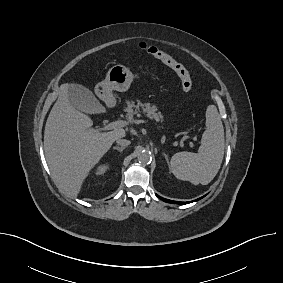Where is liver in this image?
<instances>
[{"label":"liver","instance_id":"obj_1","mask_svg":"<svg viewBox=\"0 0 283 283\" xmlns=\"http://www.w3.org/2000/svg\"><path fill=\"white\" fill-rule=\"evenodd\" d=\"M68 87H62L47 118L44 151L58 187L66 195L77 197L90 170L126 132L123 128L109 132L91 128L93 121L85 114L91 112L79 111L71 105Z\"/></svg>","mask_w":283,"mask_h":283}]
</instances>
